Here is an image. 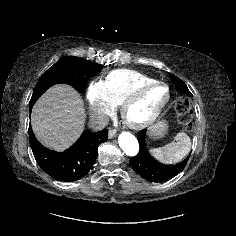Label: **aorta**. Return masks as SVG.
I'll use <instances>...</instances> for the list:
<instances>
[{
  "mask_svg": "<svg viewBox=\"0 0 236 236\" xmlns=\"http://www.w3.org/2000/svg\"><path fill=\"white\" fill-rule=\"evenodd\" d=\"M121 149L128 156H135L139 151V143L136 137L129 132H122L118 137Z\"/></svg>",
  "mask_w": 236,
  "mask_h": 236,
  "instance_id": "762f6f07",
  "label": "aorta"
}]
</instances>
